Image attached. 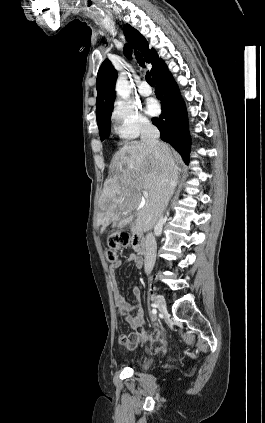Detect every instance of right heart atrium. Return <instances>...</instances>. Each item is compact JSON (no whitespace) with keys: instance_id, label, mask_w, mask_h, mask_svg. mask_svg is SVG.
I'll return each mask as SVG.
<instances>
[{"instance_id":"right-heart-atrium-1","label":"right heart atrium","mask_w":265,"mask_h":423,"mask_svg":"<svg viewBox=\"0 0 265 423\" xmlns=\"http://www.w3.org/2000/svg\"><path fill=\"white\" fill-rule=\"evenodd\" d=\"M111 119L116 133L124 140H133L151 128L148 118L130 102L118 101L111 112Z\"/></svg>"}]
</instances>
